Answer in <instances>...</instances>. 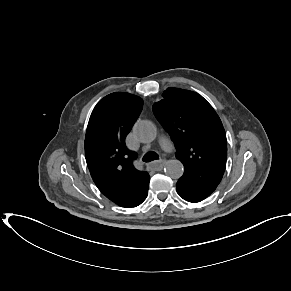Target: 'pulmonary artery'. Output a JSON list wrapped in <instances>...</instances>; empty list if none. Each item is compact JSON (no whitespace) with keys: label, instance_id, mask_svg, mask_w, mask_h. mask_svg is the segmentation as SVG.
<instances>
[{"label":"pulmonary artery","instance_id":"e3ab8cb5","mask_svg":"<svg viewBox=\"0 0 291 291\" xmlns=\"http://www.w3.org/2000/svg\"><path fill=\"white\" fill-rule=\"evenodd\" d=\"M161 144H162V146L165 148V149H167V148H169L170 147V142H169V140L168 139H163L162 141H161Z\"/></svg>","mask_w":291,"mask_h":291}]
</instances>
